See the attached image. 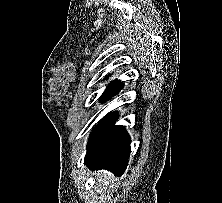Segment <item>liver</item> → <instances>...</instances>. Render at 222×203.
<instances>
[{"mask_svg": "<svg viewBox=\"0 0 222 203\" xmlns=\"http://www.w3.org/2000/svg\"><path fill=\"white\" fill-rule=\"evenodd\" d=\"M96 175L98 177L100 185L104 186L109 183L112 178V174L106 170L97 171Z\"/></svg>", "mask_w": 222, "mask_h": 203, "instance_id": "6515ba94", "label": "liver"}]
</instances>
